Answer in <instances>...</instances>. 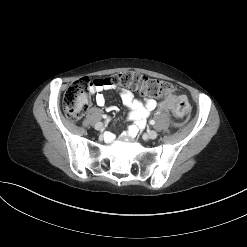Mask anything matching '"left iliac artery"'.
<instances>
[{"instance_id": "44dca946", "label": "left iliac artery", "mask_w": 247, "mask_h": 247, "mask_svg": "<svg viewBox=\"0 0 247 247\" xmlns=\"http://www.w3.org/2000/svg\"><path fill=\"white\" fill-rule=\"evenodd\" d=\"M149 123H150L151 125H154V124H155V121H154V120H150Z\"/></svg>"}]
</instances>
